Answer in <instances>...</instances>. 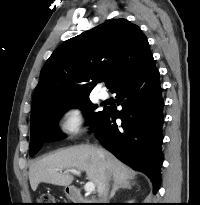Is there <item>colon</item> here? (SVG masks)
Wrapping results in <instances>:
<instances>
[{"label": "colon", "mask_w": 200, "mask_h": 205, "mask_svg": "<svg viewBox=\"0 0 200 205\" xmlns=\"http://www.w3.org/2000/svg\"><path fill=\"white\" fill-rule=\"evenodd\" d=\"M39 205H53V197L48 194H44L39 199Z\"/></svg>", "instance_id": "colon-1"}]
</instances>
